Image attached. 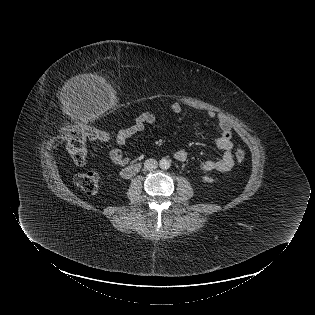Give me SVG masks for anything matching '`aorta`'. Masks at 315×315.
I'll list each match as a JSON object with an SVG mask.
<instances>
[{
  "mask_svg": "<svg viewBox=\"0 0 315 315\" xmlns=\"http://www.w3.org/2000/svg\"><path fill=\"white\" fill-rule=\"evenodd\" d=\"M160 168L167 170L170 168L171 164H170V160L166 159V158H162L159 162Z\"/></svg>",
  "mask_w": 315,
  "mask_h": 315,
  "instance_id": "obj_1",
  "label": "aorta"
}]
</instances>
